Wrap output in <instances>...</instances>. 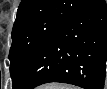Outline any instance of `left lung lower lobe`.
Returning <instances> with one entry per match:
<instances>
[{"label": "left lung lower lobe", "mask_w": 107, "mask_h": 89, "mask_svg": "<svg viewBox=\"0 0 107 89\" xmlns=\"http://www.w3.org/2000/svg\"><path fill=\"white\" fill-rule=\"evenodd\" d=\"M107 61V4L88 0L43 43L13 89L48 82L102 89Z\"/></svg>", "instance_id": "0a47b994"}]
</instances>
